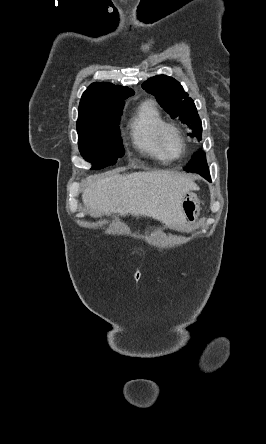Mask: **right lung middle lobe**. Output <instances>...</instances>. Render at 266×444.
I'll use <instances>...</instances> for the list:
<instances>
[{"mask_svg":"<svg viewBox=\"0 0 266 444\" xmlns=\"http://www.w3.org/2000/svg\"><path fill=\"white\" fill-rule=\"evenodd\" d=\"M124 104L113 101L79 109L78 146L82 157L93 164L92 169L114 165L124 155L118 127Z\"/></svg>","mask_w":266,"mask_h":444,"instance_id":"dd1d6c3e","label":"right lung middle lobe"}]
</instances>
